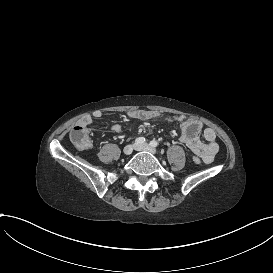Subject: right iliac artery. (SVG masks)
Masks as SVG:
<instances>
[{"label": "right iliac artery", "instance_id": "obj_1", "mask_svg": "<svg viewBox=\"0 0 273 273\" xmlns=\"http://www.w3.org/2000/svg\"><path fill=\"white\" fill-rule=\"evenodd\" d=\"M145 143V138L144 137H139L135 140V144L141 145Z\"/></svg>", "mask_w": 273, "mask_h": 273}]
</instances>
